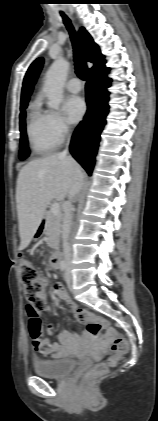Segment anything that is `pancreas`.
<instances>
[{"mask_svg":"<svg viewBox=\"0 0 158 421\" xmlns=\"http://www.w3.org/2000/svg\"><path fill=\"white\" fill-rule=\"evenodd\" d=\"M61 213L54 215L51 210L46 212V224L44 233L47 236V244L52 249H57L61 232Z\"/></svg>","mask_w":158,"mask_h":421,"instance_id":"pancreas-1","label":"pancreas"}]
</instances>
